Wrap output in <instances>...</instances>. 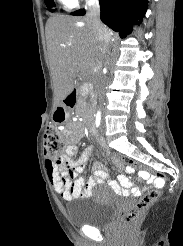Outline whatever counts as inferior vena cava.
<instances>
[{
	"instance_id": "obj_1",
	"label": "inferior vena cava",
	"mask_w": 183,
	"mask_h": 246,
	"mask_svg": "<svg viewBox=\"0 0 183 246\" xmlns=\"http://www.w3.org/2000/svg\"><path fill=\"white\" fill-rule=\"evenodd\" d=\"M87 21L92 28L93 34L99 39L104 46V54H106L111 36L107 28L100 20V6L98 0H87ZM103 66V61H100L97 65V72L100 73ZM98 92L101 102H103V83L101 80L98 82Z\"/></svg>"
}]
</instances>
